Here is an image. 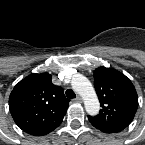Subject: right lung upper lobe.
I'll list each match as a JSON object with an SVG mask.
<instances>
[{"instance_id":"1","label":"right lung upper lobe","mask_w":145,"mask_h":145,"mask_svg":"<svg viewBox=\"0 0 145 145\" xmlns=\"http://www.w3.org/2000/svg\"><path fill=\"white\" fill-rule=\"evenodd\" d=\"M49 73L30 74L12 90L9 108L15 123L26 133L43 136L63 121L68 100Z\"/></svg>"}]
</instances>
